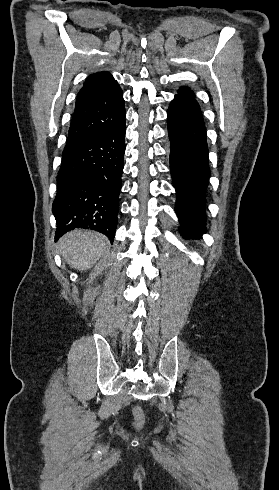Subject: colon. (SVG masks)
<instances>
[{"mask_svg":"<svg viewBox=\"0 0 279 490\" xmlns=\"http://www.w3.org/2000/svg\"><path fill=\"white\" fill-rule=\"evenodd\" d=\"M133 416L140 421L145 419V413L140 408H136L133 410Z\"/></svg>","mask_w":279,"mask_h":490,"instance_id":"colon-1","label":"colon"}]
</instances>
